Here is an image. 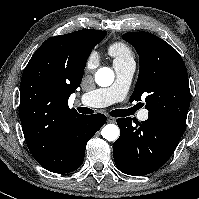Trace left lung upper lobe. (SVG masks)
Segmentation results:
<instances>
[{"label":"left lung upper lobe","mask_w":199,"mask_h":199,"mask_svg":"<svg viewBox=\"0 0 199 199\" xmlns=\"http://www.w3.org/2000/svg\"><path fill=\"white\" fill-rule=\"evenodd\" d=\"M129 42L140 58V69L131 101L146 96L149 116L185 126L191 94L187 70L179 53L161 38L148 32H128Z\"/></svg>","instance_id":"5c2ea615"}]
</instances>
